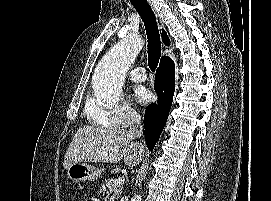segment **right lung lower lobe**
<instances>
[{
  "label": "right lung lower lobe",
  "mask_w": 271,
  "mask_h": 201,
  "mask_svg": "<svg viewBox=\"0 0 271 201\" xmlns=\"http://www.w3.org/2000/svg\"><path fill=\"white\" fill-rule=\"evenodd\" d=\"M154 88L158 95V102L149 105L144 116L145 140L150 151L154 149L161 135L172 105L175 69L171 59L160 64L157 69Z\"/></svg>",
  "instance_id": "right-lung-lower-lobe-1"
}]
</instances>
